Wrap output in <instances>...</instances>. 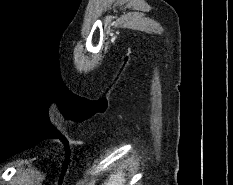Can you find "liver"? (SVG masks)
Returning <instances> with one entry per match:
<instances>
[{
  "instance_id": "obj_1",
  "label": "liver",
  "mask_w": 233,
  "mask_h": 185,
  "mask_svg": "<svg viewBox=\"0 0 233 185\" xmlns=\"http://www.w3.org/2000/svg\"><path fill=\"white\" fill-rule=\"evenodd\" d=\"M125 182V174L121 171H117L112 173L109 179L102 185H124Z\"/></svg>"
}]
</instances>
